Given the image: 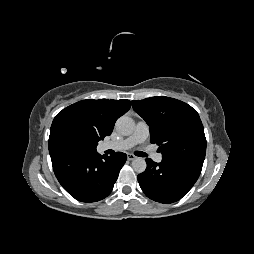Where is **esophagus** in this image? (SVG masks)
I'll use <instances>...</instances> for the list:
<instances>
[{"mask_svg":"<svg viewBox=\"0 0 254 254\" xmlns=\"http://www.w3.org/2000/svg\"><path fill=\"white\" fill-rule=\"evenodd\" d=\"M127 158H128V160H134V159H136V156L135 155H133V154H128L127 155Z\"/></svg>","mask_w":254,"mask_h":254,"instance_id":"obj_1","label":"esophagus"}]
</instances>
